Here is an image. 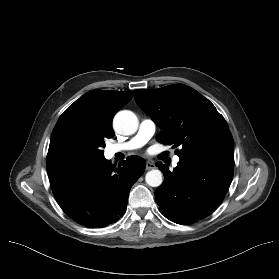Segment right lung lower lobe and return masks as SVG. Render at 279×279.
<instances>
[{"label":"right lung lower lobe","instance_id":"right-lung-lower-lobe-1","mask_svg":"<svg viewBox=\"0 0 279 279\" xmlns=\"http://www.w3.org/2000/svg\"><path fill=\"white\" fill-rule=\"evenodd\" d=\"M145 166L139 156H129L118 167L103 157L48 171V176L56 201L71 219L91 228L105 227L126 212L129 191Z\"/></svg>","mask_w":279,"mask_h":279}]
</instances>
